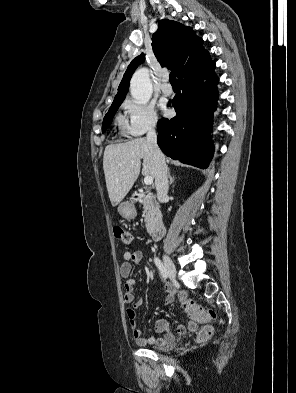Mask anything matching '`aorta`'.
<instances>
[{
	"label": "aorta",
	"mask_w": 296,
	"mask_h": 393,
	"mask_svg": "<svg viewBox=\"0 0 296 393\" xmlns=\"http://www.w3.org/2000/svg\"><path fill=\"white\" fill-rule=\"evenodd\" d=\"M130 93L138 104H146L152 96V84L149 71L146 68L138 69L130 82Z\"/></svg>",
	"instance_id": "obj_1"
}]
</instances>
